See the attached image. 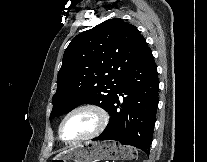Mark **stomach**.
Returning a JSON list of instances; mask_svg holds the SVG:
<instances>
[{"mask_svg": "<svg viewBox=\"0 0 207 162\" xmlns=\"http://www.w3.org/2000/svg\"><path fill=\"white\" fill-rule=\"evenodd\" d=\"M135 151L130 146L115 142H87L56 155L53 162L74 160V162H100L103 160H132Z\"/></svg>", "mask_w": 207, "mask_h": 162, "instance_id": "1", "label": "stomach"}]
</instances>
